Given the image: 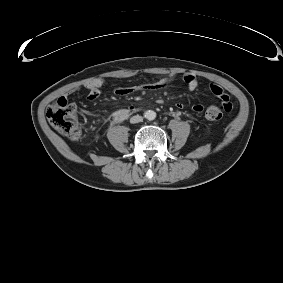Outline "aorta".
<instances>
[{"instance_id": "obj_1", "label": "aorta", "mask_w": 283, "mask_h": 283, "mask_svg": "<svg viewBox=\"0 0 283 283\" xmlns=\"http://www.w3.org/2000/svg\"><path fill=\"white\" fill-rule=\"evenodd\" d=\"M145 118L148 120H154L156 118V112L153 110H148L145 112Z\"/></svg>"}]
</instances>
